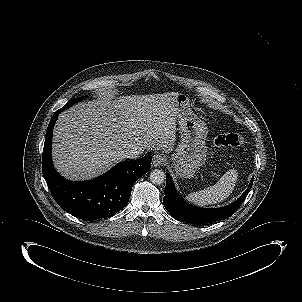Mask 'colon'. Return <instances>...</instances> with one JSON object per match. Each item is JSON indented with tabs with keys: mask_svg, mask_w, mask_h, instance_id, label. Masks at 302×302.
Returning <instances> with one entry per match:
<instances>
[{
	"mask_svg": "<svg viewBox=\"0 0 302 302\" xmlns=\"http://www.w3.org/2000/svg\"><path fill=\"white\" fill-rule=\"evenodd\" d=\"M243 142V136L236 132L218 134L213 140V144L218 148L238 147L242 145Z\"/></svg>",
	"mask_w": 302,
	"mask_h": 302,
	"instance_id": "5ec220e1",
	"label": "colon"
}]
</instances>
